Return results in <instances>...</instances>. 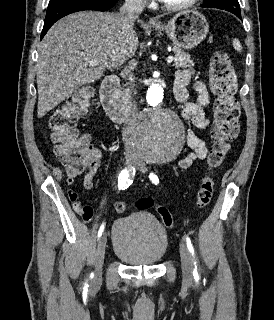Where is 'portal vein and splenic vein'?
<instances>
[{
  "mask_svg": "<svg viewBox=\"0 0 274 320\" xmlns=\"http://www.w3.org/2000/svg\"><path fill=\"white\" fill-rule=\"evenodd\" d=\"M174 58L173 56H168L167 58V64H171L173 62ZM90 66H98L97 60H94V62H89Z\"/></svg>",
  "mask_w": 274,
  "mask_h": 320,
  "instance_id": "18ae733b",
  "label": "portal vein and splenic vein"
}]
</instances>
